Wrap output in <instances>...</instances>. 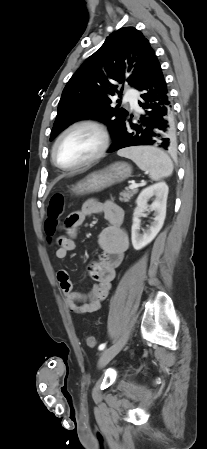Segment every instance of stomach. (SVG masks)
Listing matches in <instances>:
<instances>
[{"label": "stomach", "mask_w": 207, "mask_h": 449, "mask_svg": "<svg viewBox=\"0 0 207 449\" xmlns=\"http://www.w3.org/2000/svg\"><path fill=\"white\" fill-rule=\"evenodd\" d=\"M132 168L124 162L111 164L105 169L94 171L72 186L75 195H88L100 192L131 176Z\"/></svg>", "instance_id": "0dacf381"}]
</instances>
